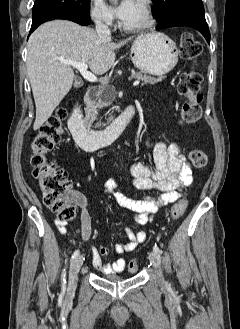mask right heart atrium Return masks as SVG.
<instances>
[{"label":"right heart atrium","instance_id":"obj_1","mask_svg":"<svg viewBox=\"0 0 240 329\" xmlns=\"http://www.w3.org/2000/svg\"><path fill=\"white\" fill-rule=\"evenodd\" d=\"M91 17L97 24L103 26H109L113 21L112 16L101 0H91Z\"/></svg>","mask_w":240,"mask_h":329}]
</instances>
